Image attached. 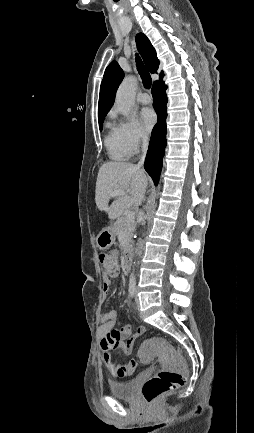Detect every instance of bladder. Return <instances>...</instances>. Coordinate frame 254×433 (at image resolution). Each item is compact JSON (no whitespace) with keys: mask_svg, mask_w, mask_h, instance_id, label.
Returning a JSON list of instances; mask_svg holds the SVG:
<instances>
[{"mask_svg":"<svg viewBox=\"0 0 254 433\" xmlns=\"http://www.w3.org/2000/svg\"><path fill=\"white\" fill-rule=\"evenodd\" d=\"M137 379L109 384V392L116 398L134 399L136 397Z\"/></svg>","mask_w":254,"mask_h":433,"instance_id":"bladder-1","label":"bladder"}]
</instances>
